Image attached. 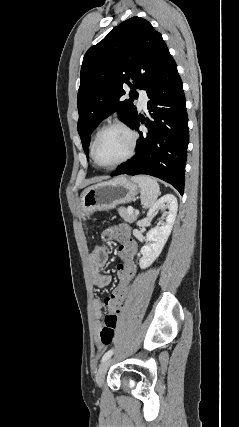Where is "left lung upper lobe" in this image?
<instances>
[{
	"label": "left lung upper lobe",
	"instance_id": "obj_1",
	"mask_svg": "<svg viewBox=\"0 0 239 427\" xmlns=\"http://www.w3.org/2000/svg\"><path fill=\"white\" fill-rule=\"evenodd\" d=\"M173 62L161 34L140 17L122 22L86 52L77 106L78 133L87 157L96 126L114 112L130 126L138 114L132 103L136 89L146 90ZM125 83L131 88L130 98L121 100Z\"/></svg>",
	"mask_w": 239,
	"mask_h": 427
}]
</instances>
